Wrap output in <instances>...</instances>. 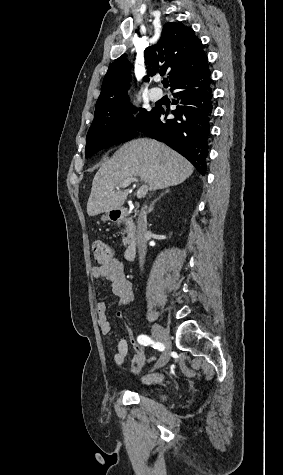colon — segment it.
<instances>
[{
    "label": "colon",
    "mask_w": 283,
    "mask_h": 475,
    "mask_svg": "<svg viewBox=\"0 0 283 475\" xmlns=\"http://www.w3.org/2000/svg\"><path fill=\"white\" fill-rule=\"evenodd\" d=\"M92 254L96 262L100 265L109 264L115 261L114 249L102 242H97L92 245Z\"/></svg>",
    "instance_id": "5ec220e1"
}]
</instances>
